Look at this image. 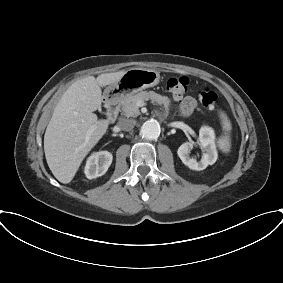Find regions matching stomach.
<instances>
[{"label": "stomach", "mask_w": 283, "mask_h": 283, "mask_svg": "<svg viewBox=\"0 0 283 283\" xmlns=\"http://www.w3.org/2000/svg\"><path fill=\"white\" fill-rule=\"evenodd\" d=\"M160 81L159 72L153 69L133 68L108 88L114 96L123 98L146 88L156 86Z\"/></svg>", "instance_id": "stomach-1"}]
</instances>
